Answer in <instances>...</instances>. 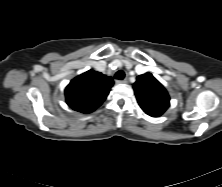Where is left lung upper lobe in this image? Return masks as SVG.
I'll list each match as a JSON object with an SVG mask.
<instances>
[{"mask_svg":"<svg viewBox=\"0 0 222 187\" xmlns=\"http://www.w3.org/2000/svg\"><path fill=\"white\" fill-rule=\"evenodd\" d=\"M133 89L140 107L149 116H161L170 105L168 92L150 73L138 76Z\"/></svg>","mask_w":222,"mask_h":187,"instance_id":"5c2ea615","label":"left lung upper lobe"}]
</instances>
